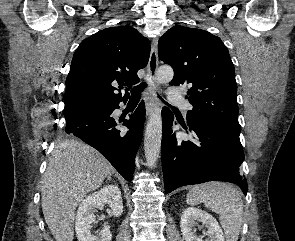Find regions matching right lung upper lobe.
Here are the masks:
<instances>
[{
    "instance_id": "1",
    "label": "right lung upper lobe",
    "mask_w": 295,
    "mask_h": 241,
    "mask_svg": "<svg viewBox=\"0 0 295 241\" xmlns=\"http://www.w3.org/2000/svg\"><path fill=\"white\" fill-rule=\"evenodd\" d=\"M150 42L131 26L111 27L84 39L66 79L65 115L128 99L119 88L139 83L137 71L149 60Z\"/></svg>"
}]
</instances>
